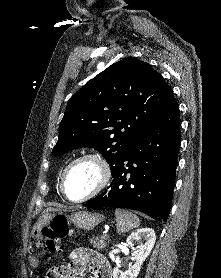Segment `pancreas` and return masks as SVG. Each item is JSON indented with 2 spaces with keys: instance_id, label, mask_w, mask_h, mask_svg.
I'll list each match as a JSON object with an SVG mask.
<instances>
[{
  "instance_id": "obj_1",
  "label": "pancreas",
  "mask_w": 221,
  "mask_h": 278,
  "mask_svg": "<svg viewBox=\"0 0 221 278\" xmlns=\"http://www.w3.org/2000/svg\"><path fill=\"white\" fill-rule=\"evenodd\" d=\"M108 239V235H102L99 237H92L90 239V243L93 245V248L98 250H103L107 246L106 240Z\"/></svg>"
}]
</instances>
